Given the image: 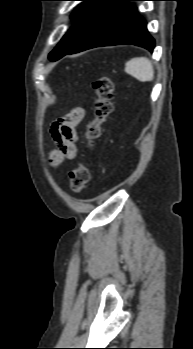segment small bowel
Returning <instances> with one entry per match:
<instances>
[{
	"instance_id": "1",
	"label": "small bowel",
	"mask_w": 193,
	"mask_h": 349,
	"mask_svg": "<svg viewBox=\"0 0 193 349\" xmlns=\"http://www.w3.org/2000/svg\"><path fill=\"white\" fill-rule=\"evenodd\" d=\"M85 117V110L81 107L56 120L51 126V136L55 149L50 154V162L58 166L64 159H75L78 141L77 128Z\"/></svg>"
}]
</instances>
